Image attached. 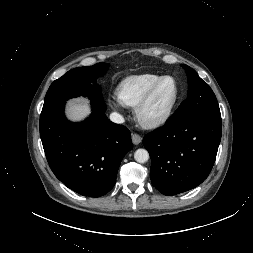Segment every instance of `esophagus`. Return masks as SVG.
I'll return each instance as SVG.
<instances>
[{"label":"esophagus","instance_id":"34e87169","mask_svg":"<svg viewBox=\"0 0 253 253\" xmlns=\"http://www.w3.org/2000/svg\"><path fill=\"white\" fill-rule=\"evenodd\" d=\"M141 141H142V138H141L140 135H138V134H132V142H133V144L138 145L139 143H141Z\"/></svg>","mask_w":253,"mask_h":253}]
</instances>
